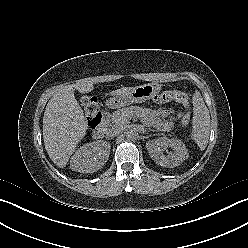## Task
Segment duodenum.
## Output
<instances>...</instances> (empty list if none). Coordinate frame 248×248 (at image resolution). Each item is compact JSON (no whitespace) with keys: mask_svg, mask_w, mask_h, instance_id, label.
I'll use <instances>...</instances> for the list:
<instances>
[{"mask_svg":"<svg viewBox=\"0 0 248 248\" xmlns=\"http://www.w3.org/2000/svg\"><path fill=\"white\" fill-rule=\"evenodd\" d=\"M92 135L94 138L99 139L101 138L106 130V117L105 113H100L99 116L94 118L93 125H92Z\"/></svg>","mask_w":248,"mask_h":248,"instance_id":"obj_1","label":"duodenum"}]
</instances>
